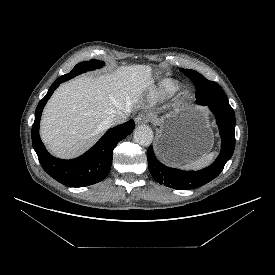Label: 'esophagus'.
Segmentation results:
<instances>
[{
    "label": "esophagus",
    "instance_id": "obj_1",
    "mask_svg": "<svg viewBox=\"0 0 275 275\" xmlns=\"http://www.w3.org/2000/svg\"><path fill=\"white\" fill-rule=\"evenodd\" d=\"M150 120V116L145 115V114H139L136 118H135V122L136 124H145Z\"/></svg>",
    "mask_w": 275,
    "mask_h": 275
}]
</instances>
